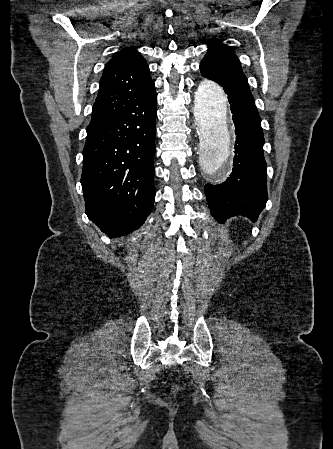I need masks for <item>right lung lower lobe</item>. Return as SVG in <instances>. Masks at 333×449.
I'll list each match as a JSON object with an SVG mask.
<instances>
[{
  "label": "right lung lower lobe",
  "mask_w": 333,
  "mask_h": 449,
  "mask_svg": "<svg viewBox=\"0 0 333 449\" xmlns=\"http://www.w3.org/2000/svg\"><path fill=\"white\" fill-rule=\"evenodd\" d=\"M156 103L152 87L86 129L85 212L110 237L138 229L153 209Z\"/></svg>",
  "instance_id": "1"
}]
</instances>
